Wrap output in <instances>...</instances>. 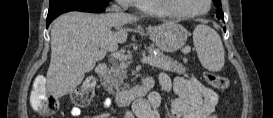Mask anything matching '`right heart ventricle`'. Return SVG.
<instances>
[{
    "mask_svg": "<svg viewBox=\"0 0 273 118\" xmlns=\"http://www.w3.org/2000/svg\"><path fill=\"white\" fill-rule=\"evenodd\" d=\"M138 4L141 10H143L144 12H151V13L166 15V16L175 15L170 10L164 8L159 2V0L141 1V2H138Z\"/></svg>",
    "mask_w": 273,
    "mask_h": 118,
    "instance_id": "obj_1",
    "label": "right heart ventricle"
}]
</instances>
